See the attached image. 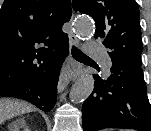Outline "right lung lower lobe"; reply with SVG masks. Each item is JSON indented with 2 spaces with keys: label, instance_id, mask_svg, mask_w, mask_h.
I'll return each mask as SVG.
<instances>
[{
  "label": "right lung lower lobe",
  "instance_id": "obj_1",
  "mask_svg": "<svg viewBox=\"0 0 151 131\" xmlns=\"http://www.w3.org/2000/svg\"><path fill=\"white\" fill-rule=\"evenodd\" d=\"M68 46L69 41L54 46L42 68L0 93V97L23 99L49 112L57 100L58 77L68 55Z\"/></svg>",
  "mask_w": 151,
  "mask_h": 131
}]
</instances>
